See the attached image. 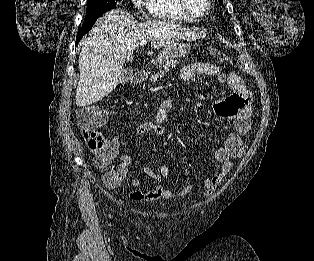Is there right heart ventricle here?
Segmentation results:
<instances>
[{
    "label": "right heart ventricle",
    "mask_w": 314,
    "mask_h": 261,
    "mask_svg": "<svg viewBox=\"0 0 314 261\" xmlns=\"http://www.w3.org/2000/svg\"><path fill=\"white\" fill-rule=\"evenodd\" d=\"M146 8L153 17L192 21L194 17L186 13L178 0H147Z\"/></svg>",
    "instance_id": "obj_1"
}]
</instances>
